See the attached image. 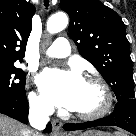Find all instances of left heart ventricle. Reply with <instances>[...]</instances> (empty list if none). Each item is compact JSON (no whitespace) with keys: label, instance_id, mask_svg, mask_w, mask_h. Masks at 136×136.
I'll use <instances>...</instances> for the list:
<instances>
[{"label":"left heart ventricle","instance_id":"b2bd125f","mask_svg":"<svg viewBox=\"0 0 136 136\" xmlns=\"http://www.w3.org/2000/svg\"><path fill=\"white\" fill-rule=\"evenodd\" d=\"M103 104V93L101 89L89 82H85L81 100L75 111L81 113H92Z\"/></svg>","mask_w":136,"mask_h":136}]
</instances>
